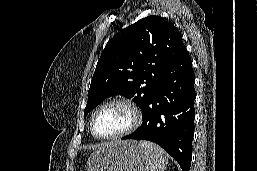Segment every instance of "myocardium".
Instances as JSON below:
<instances>
[{
	"label": "myocardium",
	"instance_id": "myocardium-1",
	"mask_svg": "<svg viewBox=\"0 0 257 171\" xmlns=\"http://www.w3.org/2000/svg\"><path fill=\"white\" fill-rule=\"evenodd\" d=\"M112 105H122L128 108L132 115H133V121L129 127H127L125 130L114 134V135H108V136H102L99 135L95 130V119L98 113L103 110L104 108ZM143 115L139 107L130 99L127 98H116L109 100L102 105H100L92 114L91 120H90V131L92 135L98 139H104V140H114L119 139L122 137H125L131 133H133L142 123Z\"/></svg>",
	"mask_w": 257,
	"mask_h": 171
}]
</instances>
